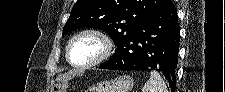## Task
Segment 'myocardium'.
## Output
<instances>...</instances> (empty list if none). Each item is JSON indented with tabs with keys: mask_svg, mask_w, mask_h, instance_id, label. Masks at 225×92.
<instances>
[{
	"mask_svg": "<svg viewBox=\"0 0 225 92\" xmlns=\"http://www.w3.org/2000/svg\"><path fill=\"white\" fill-rule=\"evenodd\" d=\"M84 36H91V37H94L95 39H97L101 44V52L95 59H93L87 63H84V64H77V63L73 62L70 57V49H71L73 43L77 39L84 37ZM112 52H113V42H112V39L110 38V36L106 32H104L100 29L88 28V29H84V30L78 32L69 40V42L66 46L65 56H66L67 62L73 68L84 69V68H89V67L100 64L101 62H103L104 60L109 58L110 55L112 54Z\"/></svg>",
	"mask_w": 225,
	"mask_h": 92,
	"instance_id": "obj_1",
	"label": "myocardium"
}]
</instances>
